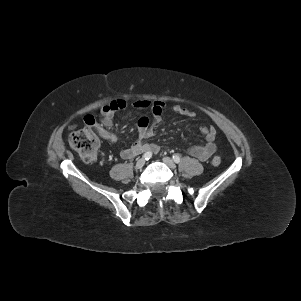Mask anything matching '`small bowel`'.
<instances>
[{"instance_id": "1", "label": "small bowel", "mask_w": 301, "mask_h": 301, "mask_svg": "<svg viewBox=\"0 0 301 301\" xmlns=\"http://www.w3.org/2000/svg\"><path fill=\"white\" fill-rule=\"evenodd\" d=\"M129 103L122 99L111 101L109 104L104 105L101 108V119L96 121L93 116L87 115L84 117V124L94 128L98 134L108 140L109 142H116L117 137L110 129L114 126V116L117 111L123 110L129 107ZM132 106L138 109L149 108L152 112V119L148 117H140L137 121V140L129 147L121 151V157L123 159H130L135 155L149 151L151 153H158L159 146L156 143L151 142L153 137V126L159 124L162 120V113L164 109V103L161 101H149V100H138L132 103ZM173 111L179 115L186 117H194L195 113L188 110L180 105H175ZM200 132L204 135L206 143L204 145H195L189 148L188 152L191 156L206 161L216 151L217 146L216 140V129L214 127H201Z\"/></svg>"}]
</instances>
